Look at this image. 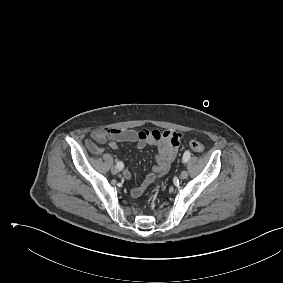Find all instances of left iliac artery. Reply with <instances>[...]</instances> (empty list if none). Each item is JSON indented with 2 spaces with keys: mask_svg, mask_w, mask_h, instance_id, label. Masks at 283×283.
Instances as JSON below:
<instances>
[{
  "mask_svg": "<svg viewBox=\"0 0 283 283\" xmlns=\"http://www.w3.org/2000/svg\"><path fill=\"white\" fill-rule=\"evenodd\" d=\"M190 158V153L189 152H185L182 158L183 163H186Z\"/></svg>",
  "mask_w": 283,
  "mask_h": 283,
  "instance_id": "1",
  "label": "left iliac artery"
}]
</instances>
